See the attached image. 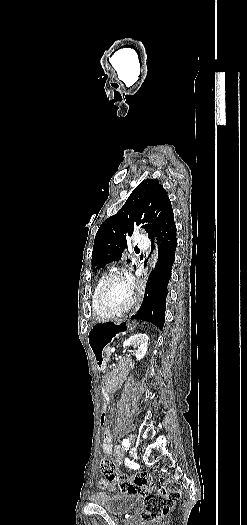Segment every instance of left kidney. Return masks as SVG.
I'll list each match as a JSON object with an SVG mask.
<instances>
[{
    "instance_id": "obj_1",
    "label": "left kidney",
    "mask_w": 247,
    "mask_h": 525,
    "mask_svg": "<svg viewBox=\"0 0 247 525\" xmlns=\"http://www.w3.org/2000/svg\"><path fill=\"white\" fill-rule=\"evenodd\" d=\"M123 347L124 349L133 347L134 351H130V353H133L136 359L141 361V359L145 357L148 349V337L147 335H142V333H137V335H133V337H129L127 341H124Z\"/></svg>"
}]
</instances>
